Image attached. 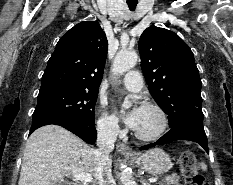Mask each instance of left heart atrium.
<instances>
[{"label": "left heart atrium", "instance_id": "left-heart-atrium-1", "mask_svg": "<svg viewBox=\"0 0 233 185\" xmlns=\"http://www.w3.org/2000/svg\"><path fill=\"white\" fill-rule=\"evenodd\" d=\"M141 113V107L139 106H134L124 117L123 120L125 124L134 129L137 127L139 117Z\"/></svg>", "mask_w": 233, "mask_h": 185}]
</instances>
